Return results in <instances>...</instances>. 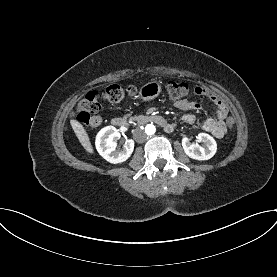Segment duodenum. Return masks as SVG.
<instances>
[{"label":"duodenum","instance_id":"obj_1","mask_svg":"<svg viewBox=\"0 0 277 277\" xmlns=\"http://www.w3.org/2000/svg\"><path fill=\"white\" fill-rule=\"evenodd\" d=\"M141 123H155L161 126L166 132H172L174 125L168 123L162 116L156 114L144 115L138 119ZM111 124L116 128H123L128 125V121L122 117H114Z\"/></svg>","mask_w":277,"mask_h":277}]
</instances>
